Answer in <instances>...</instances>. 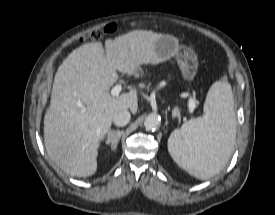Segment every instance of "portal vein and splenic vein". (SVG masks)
<instances>
[{"label": "portal vein and splenic vein", "instance_id": "18ae733b", "mask_svg": "<svg viewBox=\"0 0 275 215\" xmlns=\"http://www.w3.org/2000/svg\"><path fill=\"white\" fill-rule=\"evenodd\" d=\"M121 90H122V85L117 84L111 89V95L112 96H118L119 93L121 92ZM194 108H195V101L192 98H190V100H189V109L193 110Z\"/></svg>", "mask_w": 275, "mask_h": 215}]
</instances>
